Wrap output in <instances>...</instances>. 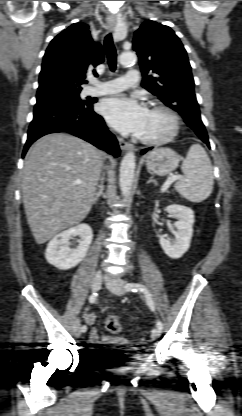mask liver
Masks as SVG:
<instances>
[{
  "instance_id": "liver-1",
  "label": "liver",
  "mask_w": 242,
  "mask_h": 416,
  "mask_svg": "<svg viewBox=\"0 0 242 416\" xmlns=\"http://www.w3.org/2000/svg\"><path fill=\"white\" fill-rule=\"evenodd\" d=\"M104 153L65 133H51L28 150L22 174L23 203L36 243L81 222L95 197Z\"/></svg>"
}]
</instances>
